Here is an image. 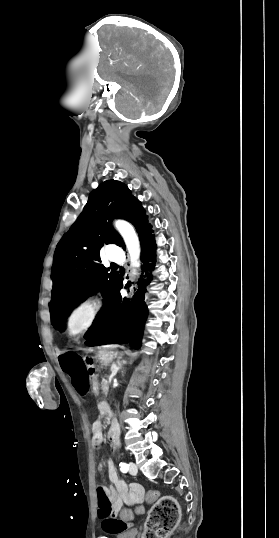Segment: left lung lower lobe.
<instances>
[{
	"label": "left lung lower lobe",
	"mask_w": 279,
	"mask_h": 538,
	"mask_svg": "<svg viewBox=\"0 0 279 538\" xmlns=\"http://www.w3.org/2000/svg\"><path fill=\"white\" fill-rule=\"evenodd\" d=\"M152 225H148L142 232L140 239L143 247L141 260L144 262L143 271H151L156 262V243L153 234ZM146 281L140 279L139 289L133 298L122 299L119 291L123 288L122 279L115 288L114 305L116 306L106 323L95 333L84 336L88 346H97L103 344H130L133 348L140 347L144 324L148 316V310L144 301L146 286L152 280V274H146ZM127 283L125 288H129Z\"/></svg>",
	"instance_id": "0a47b994"
}]
</instances>
